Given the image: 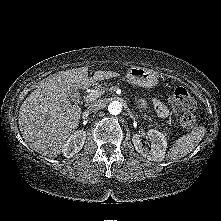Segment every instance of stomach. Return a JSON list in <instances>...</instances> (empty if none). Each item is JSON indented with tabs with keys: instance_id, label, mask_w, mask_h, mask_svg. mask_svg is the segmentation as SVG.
Returning a JSON list of instances; mask_svg holds the SVG:
<instances>
[{
	"instance_id": "stomach-1",
	"label": "stomach",
	"mask_w": 221,
	"mask_h": 221,
	"mask_svg": "<svg viewBox=\"0 0 221 221\" xmlns=\"http://www.w3.org/2000/svg\"><path fill=\"white\" fill-rule=\"evenodd\" d=\"M127 82L145 88L154 87L158 83L155 71L138 66H132L126 74Z\"/></svg>"
}]
</instances>
